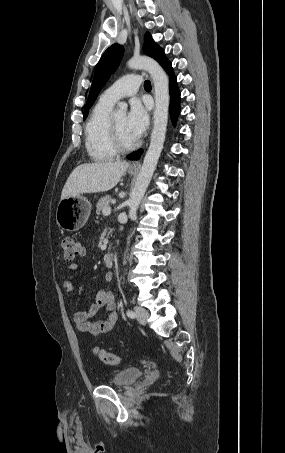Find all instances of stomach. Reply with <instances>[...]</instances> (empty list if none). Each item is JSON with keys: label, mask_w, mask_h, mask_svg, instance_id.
Wrapping results in <instances>:
<instances>
[{"label": "stomach", "mask_w": 285, "mask_h": 453, "mask_svg": "<svg viewBox=\"0 0 285 453\" xmlns=\"http://www.w3.org/2000/svg\"><path fill=\"white\" fill-rule=\"evenodd\" d=\"M128 172L130 175L136 173V171L131 169H129ZM91 208V203L80 195L61 199L56 210V221L58 226L69 232L79 230L88 220Z\"/></svg>", "instance_id": "stomach-1"}]
</instances>
